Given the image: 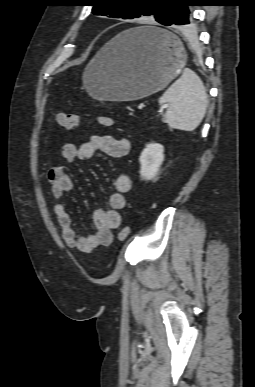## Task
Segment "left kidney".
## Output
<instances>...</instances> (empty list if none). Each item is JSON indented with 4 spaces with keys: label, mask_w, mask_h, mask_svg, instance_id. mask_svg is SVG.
<instances>
[{
    "label": "left kidney",
    "mask_w": 255,
    "mask_h": 387,
    "mask_svg": "<svg viewBox=\"0 0 255 387\" xmlns=\"http://www.w3.org/2000/svg\"><path fill=\"white\" fill-rule=\"evenodd\" d=\"M164 161V147L158 143H150L142 151L140 162V174L144 179H153Z\"/></svg>",
    "instance_id": "5707ae66"
}]
</instances>
